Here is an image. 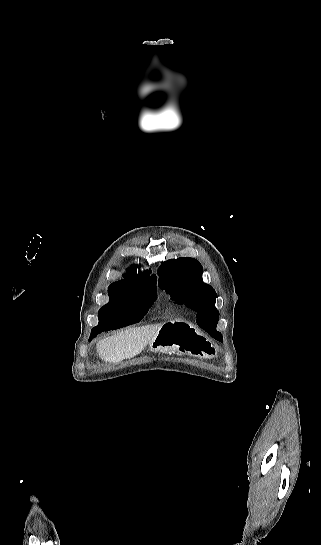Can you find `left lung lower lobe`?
<instances>
[{"instance_id": "obj_1", "label": "left lung lower lobe", "mask_w": 321, "mask_h": 545, "mask_svg": "<svg viewBox=\"0 0 321 545\" xmlns=\"http://www.w3.org/2000/svg\"><path fill=\"white\" fill-rule=\"evenodd\" d=\"M211 325L214 327V329H216L217 322H214V323H212ZM204 330H205L206 332H208V333H209L211 336H213V337H214L215 333L217 332V331H216V332H210L209 330H206V329H204Z\"/></svg>"}]
</instances>
